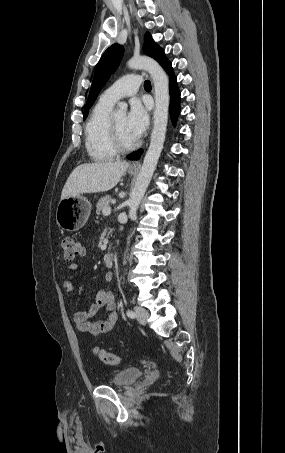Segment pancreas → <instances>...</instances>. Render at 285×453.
Instances as JSON below:
<instances>
[{
	"label": "pancreas",
	"mask_w": 285,
	"mask_h": 453,
	"mask_svg": "<svg viewBox=\"0 0 285 453\" xmlns=\"http://www.w3.org/2000/svg\"><path fill=\"white\" fill-rule=\"evenodd\" d=\"M111 200V196L109 195L102 197L96 205V213L100 214L104 209L110 208Z\"/></svg>",
	"instance_id": "1"
}]
</instances>
